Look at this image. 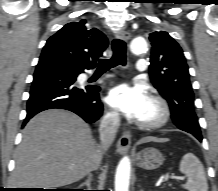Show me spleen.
<instances>
[{
	"label": "spleen",
	"mask_w": 218,
	"mask_h": 191,
	"mask_svg": "<svg viewBox=\"0 0 218 191\" xmlns=\"http://www.w3.org/2000/svg\"><path fill=\"white\" fill-rule=\"evenodd\" d=\"M180 172L188 178L187 182L182 185L183 188L188 191H208L204 167L193 153L183 156Z\"/></svg>",
	"instance_id": "obj_1"
}]
</instances>
